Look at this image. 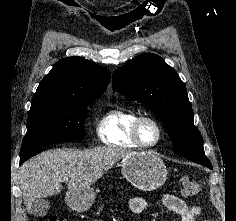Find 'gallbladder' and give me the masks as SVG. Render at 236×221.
<instances>
[{
  "label": "gallbladder",
  "mask_w": 236,
  "mask_h": 221,
  "mask_svg": "<svg viewBox=\"0 0 236 221\" xmlns=\"http://www.w3.org/2000/svg\"><path fill=\"white\" fill-rule=\"evenodd\" d=\"M49 208L50 205L48 200H46L45 198H38L34 200L31 212L34 216L42 217L48 213Z\"/></svg>",
  "instance_id": "1"
}]
</instances>
